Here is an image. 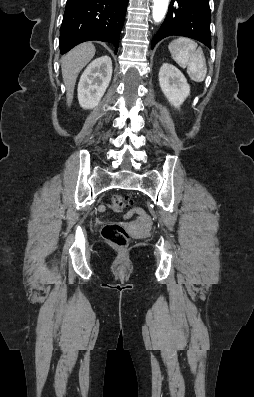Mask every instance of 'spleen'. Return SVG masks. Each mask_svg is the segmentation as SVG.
<instances>
[{
  "label": "spleen",
  "instance_id": "3e777b00",
  "mask_svg": "<svg viewBox=\"0 0 254 397\" xmlns=\"http://www.w3.org/2000/svg\"><path fill=\"white\" fill-rule=\"evenodd\" d=\"M168 48L176 63L182 68L187 67V73L193 81H204L207 74L206 59L202 48L198 47L196 42L180 37L173 40Z\"/></svg>",
  "mask_w": 254,
  "mask_h": 397
}]
</instances>
